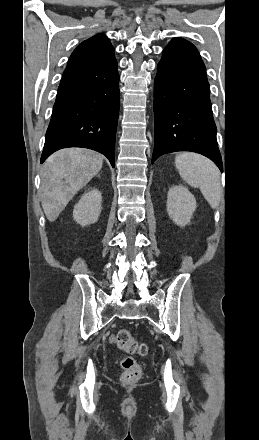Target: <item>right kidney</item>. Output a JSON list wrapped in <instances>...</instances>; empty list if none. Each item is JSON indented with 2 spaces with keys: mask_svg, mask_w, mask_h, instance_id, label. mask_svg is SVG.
<instances>
[{
  "mask_svg": "<svg viewBox=\"0 0 259 440\" xmlns=\"http://www.w3.org/2000/svg\"><path fill=\"white\" fill-rule=\"evenodd\" d=\"M102 195L98 189H92L85 193L79 202L74 206V220L87 226L98 221L102 209Z\"/></svg>",
  "mask_w": 259,
  "mask_h": 440,
  "instance_id": "right-kidney-1",
  "label": "right kidney"
}]
</instances>
